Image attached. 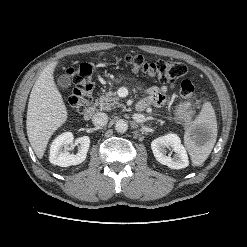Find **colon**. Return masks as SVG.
<instances>
[{"label": "colon", "mask_w": 247, "mask_h": 247, "mask_svg": "<svg viewBox=\"0 0 247 247\" xmlns=\"http://www.w3.org/2000/svg\"><path fill=\"white\" fill-rule=\"evenodd\" d=\"M119 61L135 74L163 82H175L187 73V67L181 62L159 60L148 62L139 55H126ZM67 74L75 83V88L68 97L71 109L82 112L91 101L94 90L92 68L87 63L79 64L67 70ZM180 94L192 103L197 102L193 83L185 79L180 84Z\"/></svg>", "instance_id": "colon-1"}]
</instances>
